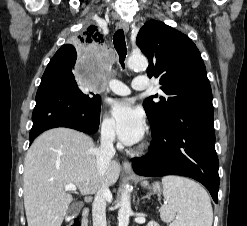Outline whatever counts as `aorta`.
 I'll list each match as a JSON object with an SVG mask.
<instances>
[{"mask_svg":"<svg viewBox=\"0 0 247 226\" xmlns=\"http://www.w3.org/2000/svg\"><path fill=\"white\" fill-rule=\"evenodd\" d=\"M127 65L130 69L146 70L148 67V60L146 57L131 56L128 59ZM131 187L127 185L123 190L120 198V209L118 211V226H128L129 217L131 214Z\"/></svg>","mask_w":247,"mask_h":226,"instance_id":"1","label":"aorta"}]
</instances>
